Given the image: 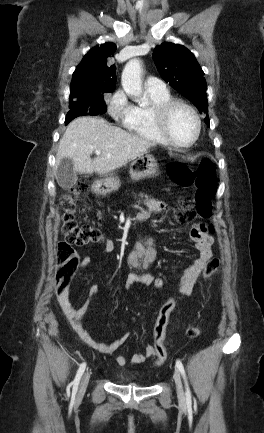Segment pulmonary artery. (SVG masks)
Listing matches in <instances>:
<instances>
[{"instance_id":"pulmonary-artery-1","label":"pulmonary artery","mask_w":264,"mask_h":433,"mask_svg":"<svg viewBox=\"0 0 264 433\" xmlns=\"http://www.w3.org/2000/svg\"><path fill=\"white\" fill-rule=\"evenodd\" d=\"M145 86L150 92L163 93L167 91L164 81L157 77H148L145 80Z\"/></svg>"}]
</instances>
